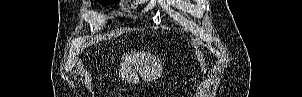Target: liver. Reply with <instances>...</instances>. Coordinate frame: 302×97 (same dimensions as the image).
I'll use <instances>...</instances> for the list:
<instances>
[{
    "label": "liver",
    "instance_id": "1",
    "mask_svg": "<svg viewBox=\"0 0 302 97\" xmlns=\"http://www.w3.org/2000/svg\"><path fill=\"white\" fill-rule=\"evenodd\" d=\"M151 59V53L148 52L147 55L144 51L137 52L132 51L131 54H124L122 56V62L120 63L119 77L125 82H131L135 77L137 71L142 76H145V68H149ZM161 66H158V69H154V76H159Z\"/></svg>",
    "mask_w": 302,
    "mask_h": 97
}]
</instances>
